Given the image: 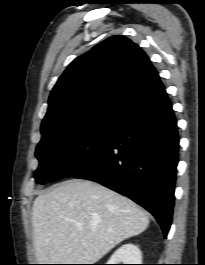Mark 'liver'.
<instances>
[{"instance_id": "obj_1", "label": "liver", "mask_w": 205, "mask_h": 265, "mask_svg": "<svg viewBox=\"0 0 205 265\" xmlns=\"http://www.w3.org/2000/svg\"><path fill=\"white\" fill-rule=\"evenodd\" d=\"M32 223L37 262L94 264L123 240L145 231L149 216L100 184L72 179L35 199Z\"/></svg>"}]
</instances>
